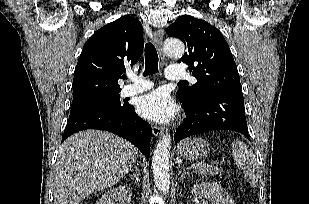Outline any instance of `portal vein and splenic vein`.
I'll list each match as a JSON object with an SVG mask.
<instances>
[{
	"label": "portal vein and splenic vein",
	"instance_id": "18ae733b",
	"mask_svg": "<svg viewBox=\"0 0 309 204\" xmlns=\"http://www.w3.org/2000/svg\"><path fill=\"white\" fill-rule=\"evenodd\" d=\"M195 166V164H193V165H190V167L189 168H192V167H194Z\"/></svg>",
	"mask_w": 309,
	"mask_h": 204
}]
</instances>
